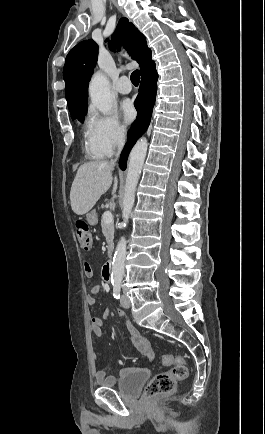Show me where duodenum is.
I'll use <instances>...</instances> for the list:
<instances>
[{
    "mask_svg": "<svg viewBox=\"0 0 265 434\" xmlns=\"http://www.w3.org/2000/svg\"><path fill=\"white\" fill-rule=\"evenodd\" d=\"M112 266V261H107L103 267L102 276L105 282H110Z\"/></svg>",
    "mask_w": 265,
    "mask_h": 434,
    "instance_id": "duodenum-1",
    "label": "duodenum"
}]
</instances>
